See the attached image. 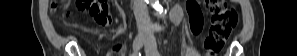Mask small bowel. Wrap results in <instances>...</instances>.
Instances as JSON below:
<instances>
[{"instance_id": "obj_1", "label": "small bowel", "mask_w": 297, "mask_h": 56, "mask_svg": "<svg viewBox=\"0 0 297 56\" xmlns=\"http://www.w3.org/2000/svg\"><path fill=\"white\" fill-rule=\"evenodd\" d=\"M190 28L194 35H198L203 27V16L199 4L196 1H189L187 4Z\"/></svg>"}]
</instances>
